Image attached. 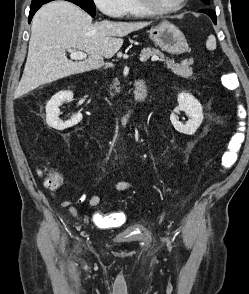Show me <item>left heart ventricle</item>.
Segmentation results:
<instances>
[{
    "label": "left heart ventricle",
    "mask_w": 249,
    "mask_h": 294,
    "mask_svg": "<svg viewBox=\"0 0 249 294\" xmlns=\"http://www.w3.org/2000/svg\"><path fill=\"white\" fill-rule=\"evenodd\" d=\"M153 5L158 9L172 8L179 3L180 0H151Z\"/></svg>",
    "instance_id": "1"
}]
</instances>
